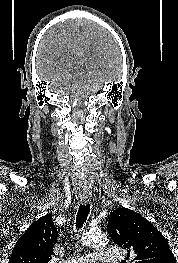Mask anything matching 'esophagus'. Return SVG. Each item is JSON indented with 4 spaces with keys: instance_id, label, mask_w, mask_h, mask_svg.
<instances>
[{
    "instance_id": "1",
    "label": "esophagus",
    "mask_w": 178,
    "mask_h": 263,
    "mask_svg": "<svg viewBox=\"0 0 178 263\" xmlns=\"http://www.w3.org/2000/svg\"><path fill=\"white\" fill-rule=\"evenodd\" d=\"M80 201L82 204H88L90 201V198H89V196H81Z\"/></svg>"
}]
</instances>
